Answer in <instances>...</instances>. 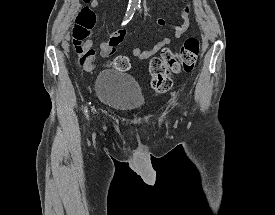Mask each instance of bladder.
I'll return each instance as SVG.
<instances>
[{
    "label": "bladder",
    "mask_w": 275,
    "mask_h": 215,
    "mask_svg": "<svg viewBox=\"0 0 275 215\" xmlns=\"http://www.w3.org/2000/svg\"><path fill=\"white\" fill-rule=\"evenodd\" d=\"M96 89L102 104L115 110L133 112L144 103L137 82L117 71H101L96 80Z\"/></svg>",
    "instance_id": "1"
}]
</instances>
